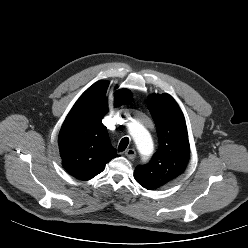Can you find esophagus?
Returning <instances> with one entry per match:
<instances>
[{
    "label": "esophagus",
    "mask_w": 248,
    "mask_h": 248,
    "mask_svg": "<svg viewBox=\"0 0 248 248\" xmlns=\"http://www.w3.org/2000/svg\"><path fill=\"white\" fill-rule=\"evenodd\" d=\"M125 156L128 157L129 159H134L136 156V151L132 148L126 150Z\"/></svg>",
    "instance_id": "1"
}]
</instances>
